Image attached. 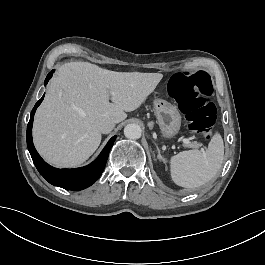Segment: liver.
Here are the masks:
<instances>
[{
	"label": "liver",
	"instance_id": "liver-1",
	"mask_svg": "<svg viewBox=\"0 0 265 265\" xmlns=\"http://www.w3.org/2000/svg\"><path fill=\"white\" fill-rule=\"evenodd\" d=\"M162 78L160 73H119L87 62L63 64L35 116L37 150L55 166L83 163L101 143L96 121L125 120L126 112L141 107Z\"/></svg>",
	"mask_w": 265,
	"mask_h": 265
}]
</instances>
